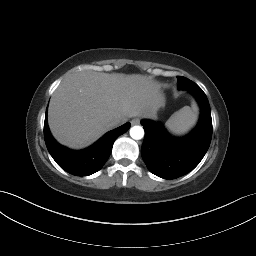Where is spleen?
Instances as JSON below:
<instances>
[{
  "instance_id": "3e777b00",
  "label": "spleen",
  "mask_w": 256,
  "mask_h": 256,
  "mask_svg": "<svg viewBox=\"0 0 256 256\" xmlns=\"http://www.w3.org/2000/svg\"><path fill=\"white\" fill-rule=\"evenodd\" d=\"M198 108L195 103L191 107L185 106L178 111L175 117L167 122L169 130L175 134L187 132L197 120Z\"/></svg>"
}]
</instances>
